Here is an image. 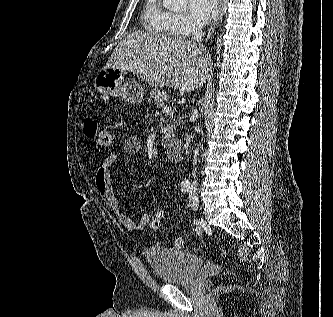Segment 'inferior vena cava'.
I'll use <instances>...</instances> for the list:
<instances>
[{"instance_id": "602c4592", "label": "inferior vena cava", "mask_w": 333, "mask_h": 317, "mask_svg": "<svg viewBox=\"0 0 333 317\" xmlns=\"http://www.w3.org/2000/svg\"><path fill=\"white\" fill-rule=\"evenodd\" d=\"M192 34H193V39H194V43L195 42H199L201 43L203 41V37L205 36V32L202 29V26L199 24H196L193 26L192 28ZM197 154H198V150H194V158H193V165H196L197 162ZM193 178L194 181L192 182V188H196L197 182L195 181L196 178V168L193 170Z\"/></svg>"}]
</instances>
